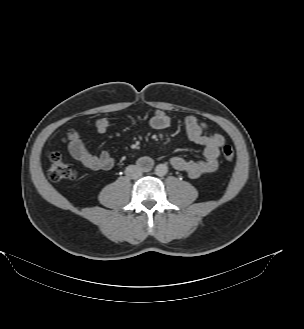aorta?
Segmentation results:
<instances>
[{"mask_svg": "<svg viewBox=\"0 0 304 329\" xmlns=\"http://www.w3.org/2000/svg\"><path fill=\"white\" fill-rule=\"evenodd\" d=\"M168 172V167L166 164H158L155 168V173L158 176H164Z\"/></svg>", "mask_w": 304, "mask_h": 329, "instance_id": "obj_1", "label": "aorta"}]
</instances>
